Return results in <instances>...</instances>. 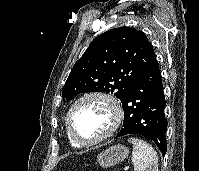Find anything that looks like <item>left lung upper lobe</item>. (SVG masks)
<instances>
[{"label": "left lung upper lobe", "mask_w": 199, "mask_h": 171, "mask_svg": "<svg viewBox=\"0 0 199 171\" xmlns=\"http://www.w3.org/2000/svg\"><path fill=\"white\" fill-rule=\"evenodd\" d=\"M154 58L153 47L142 31L111 29L95 38L75 63L62 96L72 99L83 92H111L122 101Z\"/></svg>", "instance_id": "left-lung-upper-lobe-1"}]
</instances>
